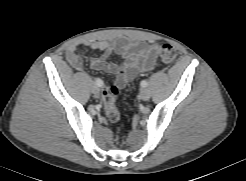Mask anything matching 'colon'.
Returning a JSON list of instances; mask_svg holds the SVG:
<instances>
[{
  "label": "colon",
  "instance_id": "5ec220e1",
  "mask_svg": "<svg viewBox=\"0 0 246 181\" xmlns=\"http://www.w3.org/2000/svg\"><path fill=\"white\" fill-rule=\"evenodd\" d=\"M158 54L161 60L165 63H172L177 57L176 49L170 44H162L158 49ZM119 94V88L112 86L103 90L102 98L104 104V110L106 117L111 122L118 121L120 114L116 106L117 96Z\"/></svg>",
  "mask_w": 246,
  "mask_h": 181
}]
</instances>
